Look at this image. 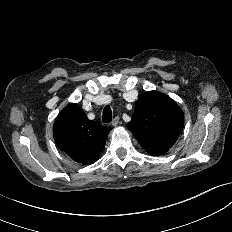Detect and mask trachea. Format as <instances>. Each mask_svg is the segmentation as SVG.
Segmentation results:
<instances>
[{
    "instance_id": "trachea-1",
    "label": "trachea",
    "mask_w": 232,
    "mask_h": 232,
    "mask_svg": "<svg viewBox=\"0 0 232 232\" xmlns=\"http://www.w3.org/2000/svg\"><path fill=\"white\" fill-rule=\"evenodd\" d=\"M112 120V110L109 106H106L103 110L102 121L103 123H109Z\"/></svg>"
}]
</instances>
